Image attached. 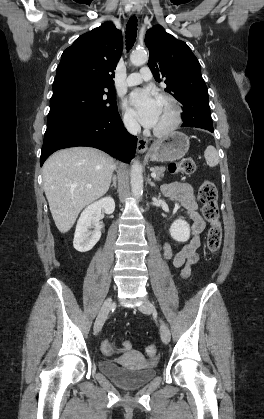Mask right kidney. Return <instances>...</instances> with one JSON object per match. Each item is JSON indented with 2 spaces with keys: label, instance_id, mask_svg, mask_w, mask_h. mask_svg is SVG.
Listing matches in <instances>:
<instances>
[{
  "label": "right kidney",
  "instance_id": "ca27d5eb",
  "mask_svg": "<svg viewBox=\"0 0 264 419\" xmlns=\"http://www.w3.org/2000/svg\"><path fill=\"white\" fill-rule=\"evenodd\" d=\"M101 210L112 214L115 202L112 197L102 198L87 206L80 215L76 225L73 246L79 252L91 250L101 237L100 216ZM93 230H89V229Z\"/></svg>",
  "mask_w": 264,
  "mask_h": 419
}]
</instances>
